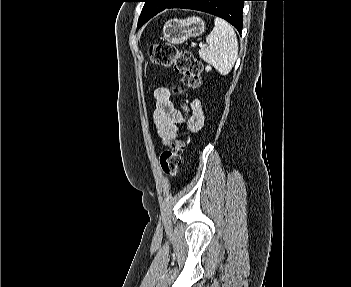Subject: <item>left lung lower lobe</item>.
I'll return each mask as SVG.
<instances>
[{"instance_id":"obj_1","label":"left lung lower lobe","mask_w":351,"mask_h":287,"mask_svg":"<svg viewBox=\"0 0 351 287\" xmlns=\"http://www.w3.org/2000/svg\"><path fill=\"white\" fill-rule=\"evenodd\" d=\"M244 1L247 0H175L167 8L193 9L221 17L241 34Z\"/></svg>"}]
</instances>
